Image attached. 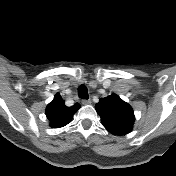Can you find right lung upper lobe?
<instances>
[{
    "mask_svg": "<svg viewBox=\"0 0 176 176\" xmlns=\"http://www.w3.org/2000/svg\"><path fill=\"white\" fill-rule=\"evenodd\" d=\"M79 108L80 104L78 103L72 107H67L60 94L57 93L53 101L46 108V116L50 121V126L60 128L67 125Z\"/></svg>",
    "mask_w": 176,
    "mask_h": 176,
    "instance_id": "1",
    "label": "right lung upper lobe"
}]
</instances>
